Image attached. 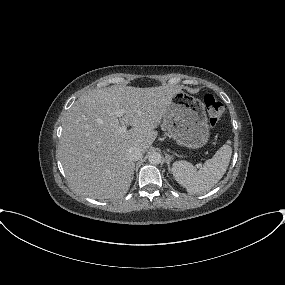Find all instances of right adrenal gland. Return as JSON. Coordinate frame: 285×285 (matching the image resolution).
Masks as SVG:
<instances>
[{
  "mask_svg": "<svg viewBox=\"0 0 285 285\" xmlns=\"http://www.w3.org/2000/svg\"><path fill=\"white\" fill-rule=\"evenodd\" d=\"M135 167V166H134ZM135 169V168H134ZM134 169H133V176H134ZM133 176H132V178H133Z\"/></svg>",
  "mask_w": 285,
  "mask_h": 285,
  "instance_id": "right-adrenal-gland-1",
  "label": "right adrenal gland"
}]
</instances>
